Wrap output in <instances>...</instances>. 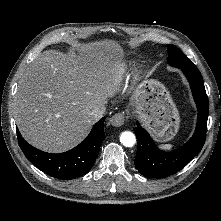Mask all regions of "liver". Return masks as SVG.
<instances>
[{
    "label": "liver",
    "mask_w": 221,
    "mask_h": 221,
    "mask_svg": "<svg viewBox=\"0 0 221 221\" xmlns=\"http://www.w3.org/2000/svg\"><path fill=\"white\" fill-rule=\"evenodd\" d=\"M122 47L103 40L75 45L65 55L42 52L19 80L15 120L24 139L50 153L78 145L96 122L92 110L114 94Z\"/></svg>",
    "instance_id": "obj_1"
}]
</instances>
